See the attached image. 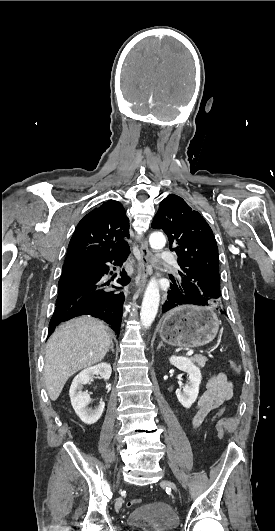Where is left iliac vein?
Listing matches in <instances>:
<instances>
[{
    "label": "left iliac vein",
    "mask_w": 275,
    "mask_h": 531,
    "mask_svg": "<svg viewBox=\"0 0 275 531\" xmlns=\"http://www.w3.org/2000/svg\"><path fill=\"white\" fill-rule=\"evenodd\" d=\"M162 483L172 487L174 490H177V487H176L175 483H173L171 481L163 480Z\"/></svg>",
    "instance_id": "obj_1"
}]
</instances>
